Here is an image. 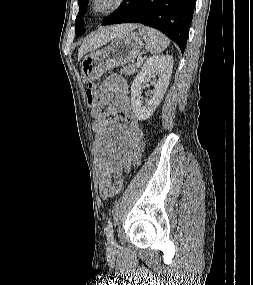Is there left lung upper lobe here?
Returning a JSON list of instances; mask_svg holds the SVG:
<instances>
[{
    "label": "left lung upper lobe",
    "instance_id": "1",
    "mask_svg": "<svg viewBox=\"0 0 253 285\" xmlns=\"http://www.w3.org/2000/svg\"><path fill=\"white\" fill-rule=\"evenodd\" d=\"M88 2L89 0H78L79 13L75 20L76 36L82 35L85 32V28L83 27L82 17L86 13Z\"/></svg>",
    "mask_w": 253,
    "mask_h": 285
}]
</instances>
